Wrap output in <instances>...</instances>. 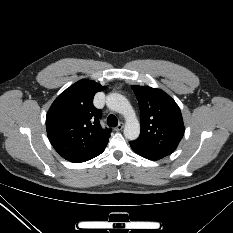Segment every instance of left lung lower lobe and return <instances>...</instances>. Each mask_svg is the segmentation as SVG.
Instances as JSON below:
<instances>
[{
  "label": "left lung lower lobe",
  "mask_w": 233,
  "mask_h": 233,
  "mask_svg": "<svg viewBox=\"0 0 233 233\" xmlns=\"http://www.w3.org/2000/svg\"><path fill=\"white\" fill-rule=\"evenodd\" d=\"M130 146L137 154H139L142 157L147 158L149 160H159V159L165 157V155H163V154L154 152L152 150H149V149L143 147L142 145H140L136 141H131Z\"/></svg>",
  "instance_id": "left-lung-lower-lobe-1"
}]
</instances>
